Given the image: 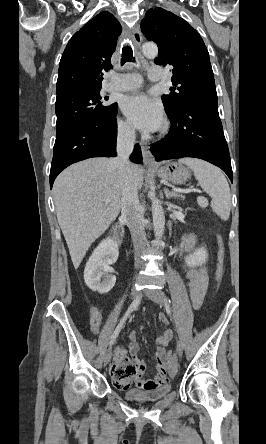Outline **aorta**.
I'll use <instances>...</instances> for the list:
<instances>
[{"label": "aorta", "instance_id": "aorta-1", "mask_svg": "<svg viewBox=\"0 0 266 444\" xmlns=\"http://www.w3.org/2000/svg\"><path fill=\"white\" fill-rule=\"evenodd\" d=\"M142 52L145 57L154 58L158 54V47L154 43H145L142 46ZM151 200L155 241L157 245H160L165 228V215L160 200L155 195H152Z\"/></svg>", "mask_w": 266, "mask_h": 444}]
</instances>
